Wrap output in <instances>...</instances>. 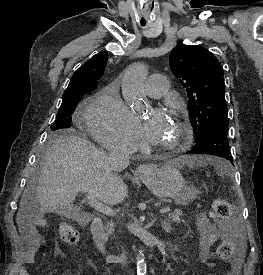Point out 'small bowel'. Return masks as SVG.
<instances>
[{
    "mask_svg": "<svg viewBox=\"0 0 263 275\" xmlns=\"http://www.w3.org/2000/svg\"><path fill=\"white\" fill-rule=\"evenodd\" d=\"M196 227L200 236V247L202 250V259L209 260L213 256L212 248L218 238L217 227L207 218L205 214H199L196 218ZM30 245L23 257L22 265L19 269V275H30L25 269L24 264H29L33 261L35 252L39 244V236L30 231ZM238 264L234 265L233 273L237 274ZM212 275V274H209Z\"/></svg>",
    "mask_w": 263,
    "mask_h": 275,
    "instance_id": "1",
    "label": "small bowel"
}]
</instances>
